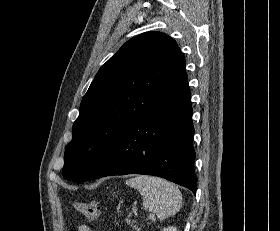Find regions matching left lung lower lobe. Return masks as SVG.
Masks as SVG:
<instances>
[{
  "label": "left lung lower lobe",
  "instance_id": "0a47b994",
  "mask_svg": "<svg viewBox=\"0 0 280 231\" xmlns=\"http://www.w3.org/2000/svg\"><path fill=\"white\" fill-rule=\"evenodd\" d=\"M192 113L185 79L119 136L88 180L146 174L165 178L196 194Z\"/></svg>",
  "mask_w": 280,
  "mask_h": 231
}]
</instances>
